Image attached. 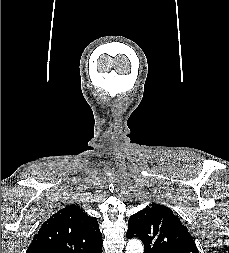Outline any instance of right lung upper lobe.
Masks as SVG:
<instances>
[{"label": "right lung upper lobe", "mask_w": 229, "mask_h": 253, "mask_svg": "<svg viewBox=\"0 0 229 253\" xmlns=\"http://www.w3.org/2000/svg\"><path fill=\"white\" fill-rule=\"evenodd\" d=\"M101 248L97 219L73 204L43 223L26 253H96Z\"/></svg>", "instance_id": "cb5924a9"}]
</instances>
